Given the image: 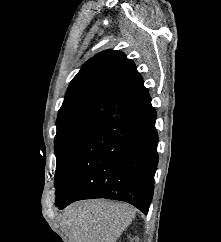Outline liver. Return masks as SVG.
Masks as SVG:
<instances>
[{
  "instance_id": "obj_1",
  "label": "liver",
  "mask_w": 221,
  "mask_h": 242,
  "mask_svg": "<svg viewBox=\"0 0 221 242\" xmlns=\"http://www.w3.org/2000/svg\"><path fill=\"white\" fill-rule=\"evenodd\" d=\"M134 217L128 204L91 200L67 207L61 224L69 242H116Z\"/></svg>"
}]
</instances>
